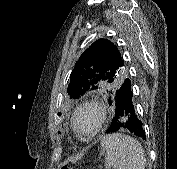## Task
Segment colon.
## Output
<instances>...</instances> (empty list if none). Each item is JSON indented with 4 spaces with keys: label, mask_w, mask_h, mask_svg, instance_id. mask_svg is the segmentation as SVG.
Here are the masks:
<instances>
[{
    "label": "colon",
    "mask_w": 177,
    "mask_h": 169,
    "mask_svg": "<svg viewBox=\"0 0 177 169\" xmlns=\"http://www.w3.org/2000/svg\"><path fill=\"white\" fill-rule=\"evenodd\" d=\"M62 169H74V168H70L68 166H63Z\"/></svg>",
    "instance_id": "obj_1"
}]
</instances>
